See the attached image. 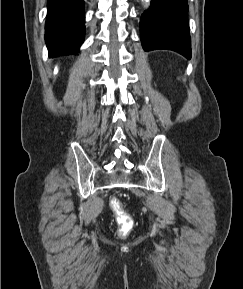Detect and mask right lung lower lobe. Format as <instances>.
Returning a JSON list of instances; mask_svg holds the SVG:
<instances>
[{"instance_id": "1", "label": "right lung lower lobe", "mask_w": 243, "mask_h": 289, "mask_svg": "<svg viewBox=\"0 0 243 289\" xmlns=\"http://www.w3.org/2000/svg\"><path fill=\"white\" fill-rule=\"evenodd\" d=\"M45 40L49 56L77 53L84 41L83 0H48Z\"/></svg>"}]
</instances>
